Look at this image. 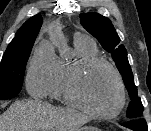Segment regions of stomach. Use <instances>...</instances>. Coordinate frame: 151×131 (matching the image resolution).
Returning <instances> with one entry per match:
<instances>
[{
	"mask_svg": "<svg viewBox=\"0 0 151 131\" xmlns=\"http://www.w3.org/2000/svg\"><path fill=\"white\" fill-rule=\"evenodd\" d=\"M78 131H99L98 128L92 127V126H85L81 129H79Z\"/></svg>",
	"mask_w": 151,
	"mask_h": 131,
	"instance_id": "0dacf381",
	"label": "stomach"
}]
</instances>
